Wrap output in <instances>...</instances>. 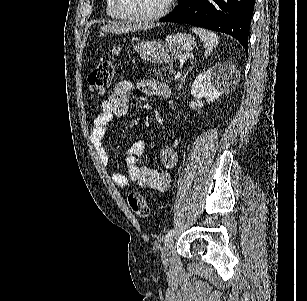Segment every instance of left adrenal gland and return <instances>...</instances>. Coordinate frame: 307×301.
<instances>
[{"label": "left adrenal gland", "instance_id": "1", "mask_svg": "<svg viewBox=\"0 0 307 301\" xmlns=\"http://www.w3.org/2000/svg\"><path fill=\"white\" fill-rule=\"evenodd\" d=\"M194 66H195V64H192V66H190V68H188L187 72H185L184 76H182L181 82L179 84V88H182V84H183L188 72H190V70H192V68H194Z\"/></svg>", "mask_w": 307, "mask_h": 301}]
</instances>
